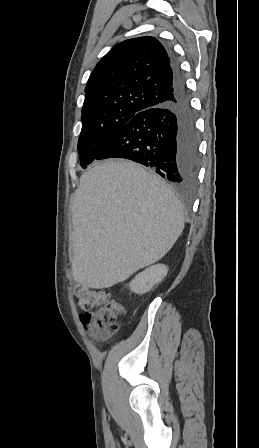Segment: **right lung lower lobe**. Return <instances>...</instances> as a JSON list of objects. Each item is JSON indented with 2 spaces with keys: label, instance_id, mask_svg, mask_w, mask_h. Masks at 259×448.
I'll use <instances>...</instances> for the list:
<instances>
[{
  "label": "right lung lower lobe",
  "instance_id": "right-lung-lower-lobe-1",
  "mask_svg": "<svg viewBox=\"0 0 259 448\" xmlns=\"http://www.w3.org/2000/svg\"><path fill=\"white\" fill-rule=\"evenodd\" d=\"M174 76L170 101L136 114L97 156L126 158L153 167L176 185L191 186L199 164L198 133L185 81L169 50Z\"/></svg>",
  "mask_w": 259,
  "mask_h": 448
}]
</instances>
